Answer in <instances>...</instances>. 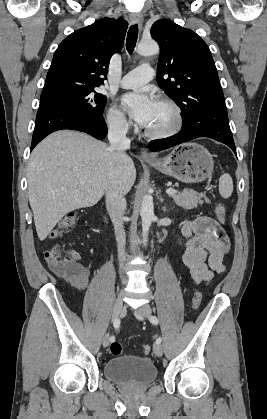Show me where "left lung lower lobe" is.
<instances>
[{
	"label": "left lung lower lobe",
	"mask_w": 267,
	"mask_h": 419,
	"mask_svg": "<svg viewBox=\"0 0 267 419\" xmlns=\"http://www.w3.org/2000/svg\"><path fill=\"white\" fill-rule=\"evenodd\" d=\"M198 137H209L228 145L236 154V148L232 133L228 123L227 111H210L195 116L190 121L183 123V127L178 134L173 136L153 140L148 147L151 151H161L170 147L188 142Z\"/></svg>",
	"instance_id": "obj_1"
}]
</instances>
